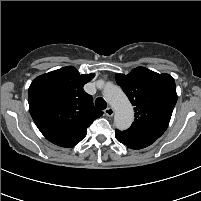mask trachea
Masks as SVG:
<instances>
[{
	"mask_svg": "<svg viewBox=\"0 0 201 201\" xmlns=\"http://www.w3.org/2000/svg\"><path fill=\"white\" fill-rule=\"evenodd\" d=\"M95 106H96L98 109L104 110V109H106V107H107V103H106V101H105L102 97H98V98L95 100Z\"/></svg>",
	"mask_w": 201,
	"mask_h": 201,
	"instance_id": "1",
	"label": "trachea"
}]
</instances>
